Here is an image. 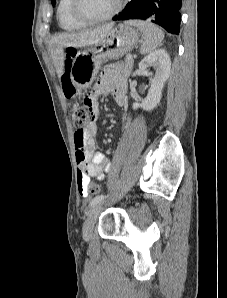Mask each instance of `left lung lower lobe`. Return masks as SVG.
Here are the masks:
<instances>
[{
    "instance_id": "left-lung-lower-lobe-1",
    "label": "left lung lower lobe",
    "mask_w": 227,
    "mask_h": 298,
    "mask_svg": "<svg viewBox=\"0 0 227 298\" xmlns=\"http://www.w3.org/2000/svg\"><path fill=\"white\" fill-rule=\"evenodd\" d=\"M182 0H130L124 10L112 19H142L160 25L172 34L180 31Z\"/></svg>"
}]
</instances>
